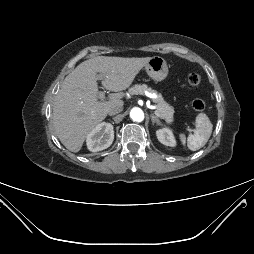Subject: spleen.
<instances>
[{"mask_svg": "<svg viewBox=\"0 0 254 254\" xmlns=\"http://www.w3.org/2000/svg\"><path fill=\"white\" fill-rule=\"evenodd\" d=\"M195 127L194 134L189 135L187 138V147L192 151L199 150L208 142L213 129V125L205 113L197 115ZM180 139L185 144L186 138L184 134L180 135Z\"/></svg>", "mask_w": 254, "mask_h": 254, "instance_id": "obj_1", "label": "spleen"}]
</instances>
